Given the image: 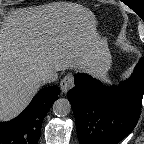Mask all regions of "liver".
I'll use <instances>...</instances> for the list:
<instances>
[{
	"label": "liver",
	"instance_id": "liver-1",
	"mask_svg": "<svg viewBox=\"0 0 144 144\" xmlns=\"http://www.w3.org/2000/svg\"><path fill=\"white\" fill-rule=\"evenodd\" d=\"M106 39L93 13L71 2L11 9L0 21V121L16 117L47 71L99 73Z\"/></svg>",
	"mask_w": 144,
	"mask_h": 144
}]
</instances>
